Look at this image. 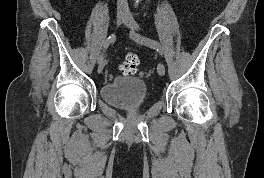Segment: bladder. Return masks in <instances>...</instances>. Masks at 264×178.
<instances>
[{
  "instance_id": "31cf9c89",
  "label": "bladder",
  "mask_w": 264,
  "mask_h": 178,
  "mask_svg": "<svg viewBox=\"0 0 264 178\" xmlns=\"http://www.w3.org/2000/svg\"><path fill=\"white\" fill-rule=\"evenodd\" d=\"M148 87L142 78L130 75L117 76L101 88V97L109 105L133 108L145 102Z\"/></svg>"
}]
</instances>
